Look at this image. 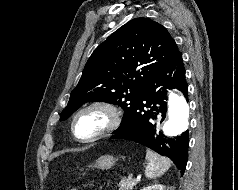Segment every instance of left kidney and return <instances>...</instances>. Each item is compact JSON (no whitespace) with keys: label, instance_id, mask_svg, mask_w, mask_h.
<instances>
[{"label":"left kidney","instance_id":"obj_1","mask_svg":"<svg viewBox=\"0 0 238 190\" xmlns=\"http://www.w3.org/2000/svg\"><path fill=\"white\" fill-rule=\"evenodd\" d=\"M141 190H164V186L161 184H155L148 187H144Z\"/></svg>","mask_w":238,"mask_h":190}]
</instances>
